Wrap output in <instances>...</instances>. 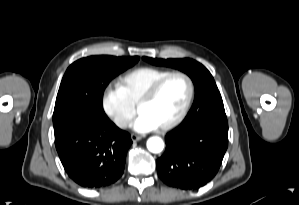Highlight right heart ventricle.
<instances>
[{
    "label": "right heart ventricle",
    "instance_id": "1",
    "mask_svg": "<svg viewBox=\"0 0 299 205\" xmlns=\"http://www.w3.org/2000/svg\"><path fill=\"white\" fill-rule=\"evenodd\" d=\"M169 70L142 66L132 69L117 80V86L122 90L127 100L136 105L143 93L159 78L169 73Z\"/></svg>",
    "mask_w": 299,
    "mask_h": 205
}]
</instances>
